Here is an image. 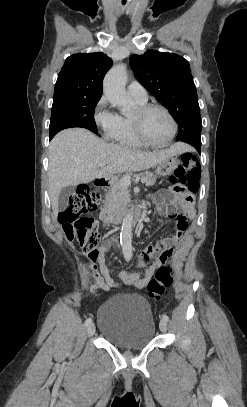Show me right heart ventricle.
I'll list each match as a JSON object with an SVG mask.
<instances>
[{"label": "right heart ventricle", "mask_w": 247, "mask_h": 407, "mask_svg": "<svg viewBox=\"0 0 247 407\" xmlns=\"http://www.w3.org/2000/svg\"><path fill=\"white\" fill-rule=\"evenodd\" d=\"M137 107L143 106L146 102L134 100ZM110 139L117 144L128 148H141L143 145L137 140L134 135L130 116L118 115V120L115 129L113 130Z\"/></svg>", "instance_id": "e07e8e85"}]
</instances>
